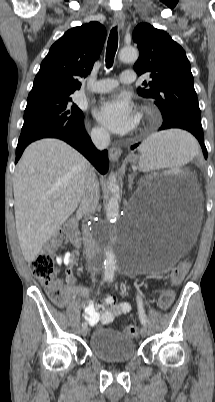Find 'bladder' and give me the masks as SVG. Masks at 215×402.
Returning <instances> with one entry per match:
<instances>
[{"instance_id":"1","label":"bladder","mask_w":215,"mask_h":402,"mask_svg":"<svg viewBox=\"0 0 215 402\" xmlns=\"http://www.w3.org/2000/svg\"><path fill=\"white\" fill-rule=\"evenodd\" d=\"M89 349L105 362H123L132 359L136 347L131 337L112 328H98L89 339Z\"/></svg>"}]
</instances>
